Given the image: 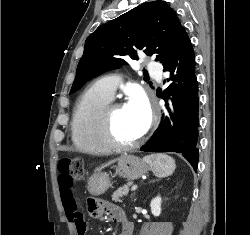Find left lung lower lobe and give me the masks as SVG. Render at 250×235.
<instances>
[{"label":"left lung lower lobe","instance_id":"0a47b994","mask_svg":"<svg viewBox=\"0 0 250 235\" xmlns=\"http://www.w3.org/2000/svg\"><path fill=\"white\" fill-rule=\"evenodd\" d=\"M162 65L164 71L170 72L167 81H173L164 91L163 98L171 100L174 113L169 110L170 116L162 121L142 150L182 153L197 171L198 85L195 55L184 28Z\"/></svg>","mask_w":250,"mask_h":235}]
</instances>
